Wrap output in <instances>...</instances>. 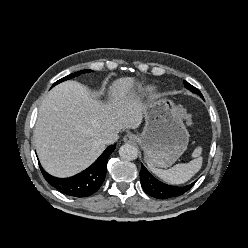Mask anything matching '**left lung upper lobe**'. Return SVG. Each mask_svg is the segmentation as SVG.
I'll return each mask as SVG.
<instances>
[{
    "instance_id": "5c2ea615",
    "label": "left lung upper lobe",
    "mask_w": 248,
    "mask_h": 248,
    "mask_svg": "<svg viewBox=\"0 0 248 248\" xmlns=\"http://www.w3.org/2000/svg\"><path fill=\"white\" fill-rule=\"evenodd\" d=\"M184 85H185V87H186L188 90H190V91L193 92V93L198 94L199 96H201V97L203 98L201 92H200L197 88H195L194 86H192L191 84H189L187 81H184Z\"/></svg>"
}]
</instances>
